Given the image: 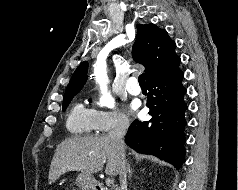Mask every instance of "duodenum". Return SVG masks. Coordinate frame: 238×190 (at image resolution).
I'll return each mask as SVG.
<instances>
[{"instance_id": "duodenum-1", "label": "duodenum", "mask_w": 238, "mask_h": 190, "mask_svg": "<svg viewBox=\"0 0 238 190\" xmlns=\"http://www.w3.org/2000/svg\"><path fill=\"white\" fill-rule=\"evenodd\" d=\"M95 190H105L102 185H95Z\"/></svg>"}]
</instances>
